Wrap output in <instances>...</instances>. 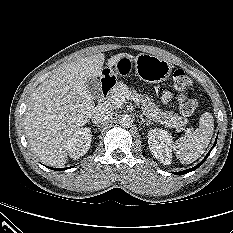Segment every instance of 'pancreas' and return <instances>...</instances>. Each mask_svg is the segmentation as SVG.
I'll list each match as a JSON object with an SVG mask.
<instances>
[{
	"label": "pancreas",
	"instance_id": "pancreas-1",
	"mask_svg": "<svg viewBox=\"0 0 233 233\" xmlns=\"http://www.w3.org/2000/svg\"><path fill=\"white\" fill-rule=\"evenodd\" d=\"M123 93H129L137 97L142 105L143 113L156 122L163 123L166 126L176 128L177 130H182L185 124L188 122V119L180 117L173 111L164 112L162 109H159V107L152 102L153 99L149 98L148 96L138 94L134 90L129 89V87L122 81L118 82L111 90L108 96V101L115 104L113 98Z\"/></svg>",
	"mask_w": 233,
	"mask_h": 233
}]
</instances>
